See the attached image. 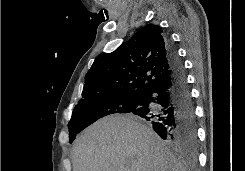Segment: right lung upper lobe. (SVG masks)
<instances>
[{"label":"right lung upper lobe","mask_w":245,"mask_h":171,"mask_svg":"<svg viewBox=\"0 0 245 171\" xmlns=\"http://www.w3.org/2000/svg\"><path fill=\"white\" fill-rule=\"evenodd\" d=\"M167 43L163 29L148 24L115 51L98 55L85 76L80 101L141 95L170 75Z\"/></svg>","instance_id":"obj_1"}]
</instances>
